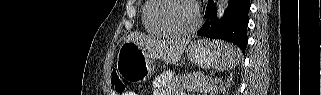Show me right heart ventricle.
<instances>
[{
	"instance_id": "obj_1",
	"label": "right heart ventricle",
	"mask_w": 321,
	"mask_h": 95,
	"mask_svg": "<svg viewBox=\"0 0 321 95\" xmlns=\"http://www.w3.org/2000/svg\"><path fill=\"white\" fill-rule=\"evenodd\" d=\"M152 4H153V0H147L144 2L142 7V24L148 33L155 36H165L166 34H164L162 31L157 29L149 18V11Z\"/></svg>"
}]
</instances>
